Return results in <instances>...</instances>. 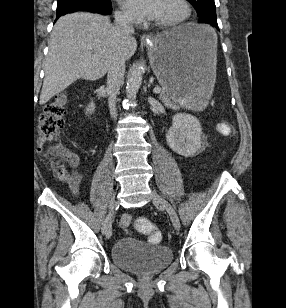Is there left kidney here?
<instances>
[{
	"label": "left kidney",
	"mask_w": 286,
	"mask_h": 308,
	"mask_svg": "<svg viewBox=\"0 0 286 308\" xmlns=\"http://www.w3.org/2000/svg\"><path fill=\"white\" fill-rule=\"evenodd\" d=\"M202 128L196 117L177 113L166 134L169 147L184 157L194 156L201 148Z\"/></svg>",
	"instance_id": "1"
}]
</instances>
